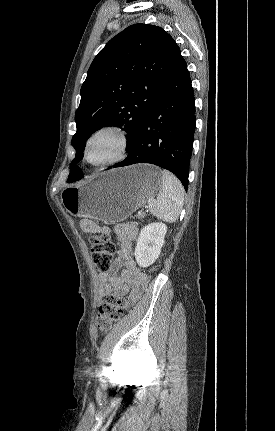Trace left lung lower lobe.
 <instances>
[{
  "label": "left lung lower lobe",
  "instance_id": "0a47b994",
  "mask_svg": "<svg viewBox=\"0 0 275 431\" xmlns=\"http://www.w3.org/2000/svg\"><path fill=\"white\" fill-rule=\"evenodd\" d=\"M195 98L187 64L180 55L165 86L137 132L127 158L114 165L151 163L174 173L188 188L195 131ZM83 177L77 173L67 182Z\"/></svg>",
  "mask_w": 275,
  "mask_h": 431
}]
</instances>
